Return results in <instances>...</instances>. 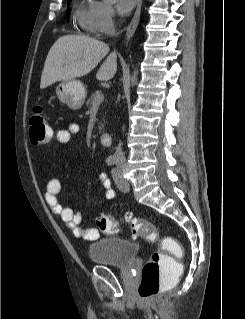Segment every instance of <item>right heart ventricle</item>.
<instances>
[{"label":"right heart ventricle","instance_id":"e07e8e85","mask_svg":"<svg viewBox=\"0 0 245 319\" xmlns=\"http://www.w3.org/2000/svg\"><path fill=\"white\" fill-rule=\"evenodd\" d=\"M73 17L83 29L90 31L93 20V2L78 3L75 6Z\"/></svg>","mask_w":245,"mask_h":319}]
</instances>
